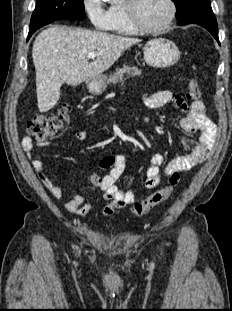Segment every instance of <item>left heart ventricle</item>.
<instances>
[{
    "mask_svg": "<svg viewBox=\"0 0 232 311\" xmlns=\"http://www.w3.org/2000/svg\"><path fill=\"white\" fill-rule=\"evenodd\" d=\"M136 14L144 26L157 27L168 17L169 6L166 0H137Z\"/></svg>",
    "mask_w": 232,
    "mask_h": 311,
    "instance_id": "1",
    "label": "left heart ventricle"
}]
</instances>
